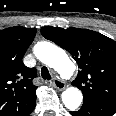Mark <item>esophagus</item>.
Segmentation results:
<instances>
[{
    "label": "esophagus",
    "instance_id": "34e87169",
    "mask_svg": "<svg viewBox=\"0 0 116 116\" xmlns=\"http://www.w3.org/2000/svg\"><path fill=\"white\" fill-rule=\"evenodd\" d=\"M53 86H54L57 90H59V91H61V90H63V89L66 88L65 82L62 81V80L59 79V78H54V79H53Z\"/></svg>",
    "mask_w": 116,
    "mask_h": 116
}]
</instances>
